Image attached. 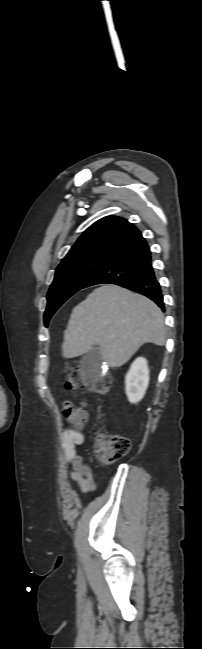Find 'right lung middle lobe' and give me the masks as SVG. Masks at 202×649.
<instances>
[{
  "instance_id": "right-lung-middle-lobe-1",
  "label": "right lung middle lobe",
  "mask_w": 202,
  "mask_h": 649,
  "mask_svg": "<svg viewBox=\"0 0 202 649\" xmlns=\"http://www.w3.org/2000/svg\"><path fill=\"white\" fill-rule=\"evenodd\" d=\"M115 254L88 252L64 258L56 269L55 278L47 295L45 325L56 310L86 284L89 278Z\"/></svg>"
}]
</instances>
